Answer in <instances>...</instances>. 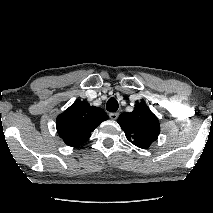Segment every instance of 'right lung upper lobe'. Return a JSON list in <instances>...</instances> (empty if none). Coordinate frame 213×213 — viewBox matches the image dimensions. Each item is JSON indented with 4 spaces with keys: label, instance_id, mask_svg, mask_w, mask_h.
<instances>
[{
    "label": "right lung upper lobe",
    "instance_id": "right-lung-upper-lobe-1",
    "mask_svg": "<svg viewBox=\"0 0 213 213\" xmlns=\"http://www.w3.org/2000/svg\"><path fill=\"white\" fill-rule=\"evenodd\" d=\"M107 119L108 116L103 109L90 106L84 101H76L57 117L56 127L59 136L67 145L77 147L91 136V132L101 122Z\"/></svg>",
    "mask_w": 213,
    "mask_h": 213
}]
</instances>
